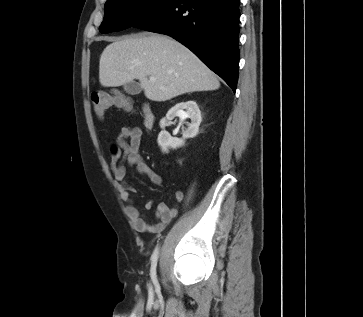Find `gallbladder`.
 <instances>
[{"label":"gallbladder","instance_id":"bac80fb5","mask_svg":"<svg viewBox=\"0 0 363 317\" xmlns=\"http://www.w3.org/2000/svg\"><path fill=\"white\" fill-rule=\"evenodd\" d=\"M123 88L129 95H137L142 91L140 84L134 81L124 84Z\"/></svg>","mask_w":363,"mask_h":317}]
</instances>
